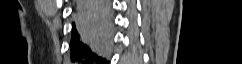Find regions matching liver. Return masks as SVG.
I'll return each instance as SVG.
<instances>
[{
	"label": "liver",
	"instance_id": "obj_1",
	"mask_svg": "<svg viewBox=\"0 0 242 64\" xmlns=\"http://www.w3.org/2000/svg\"><path fill=\"white\" fill-rule=\"evenodd\" d=\"M76 22L88 36H98L106 32L102 23L96 16H90L88 19H79L76 16Z\"/></svg>",
	"mask_w": 242,
	"mask_h": 64
}]
</instances>
